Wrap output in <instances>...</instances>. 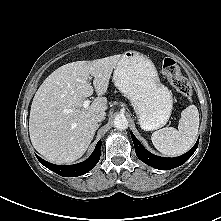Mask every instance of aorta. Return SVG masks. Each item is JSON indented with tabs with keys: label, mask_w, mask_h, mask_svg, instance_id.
<instances>
[{
	"label": "aorta",
	"mask_w": 221,
	"mask_h": 221,
	"mask_svg": "<svg viewBox=\"0 0 221 221\" xmlns=\"http://www.w3.org/2000/svg\"><path fill=\"white\" fill-rule=\"evenodd\" d=\"M114 127L119 130H125L128 128V120L124 115H117L114 119Z\"/></svg>",
	"instance_id": "aorta-1"
}]
</instances>
